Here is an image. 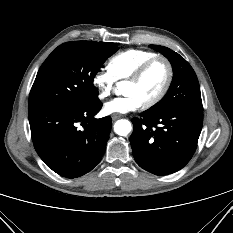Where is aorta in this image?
<instances>
[{
    "mask_svg": "<svg viewBox=\"0 0 233 233\" xmlns=\"http://www.w3.org/2000/svg\"><path fill=\"white\" fill-rule=\"evenodd\" d=\"M132 129L130 121L121 119L114 124V131L120 136H127Z\"/></svg>",
    "mask_w": 233,
    "mask_h": 233,
    "instance_id": "762f6f07",
    "label": "aorta"
}]
</instances>
